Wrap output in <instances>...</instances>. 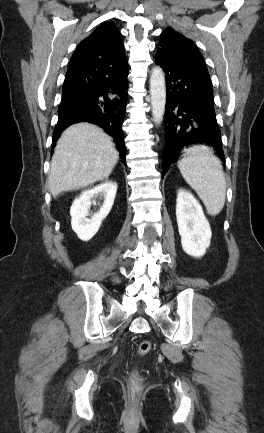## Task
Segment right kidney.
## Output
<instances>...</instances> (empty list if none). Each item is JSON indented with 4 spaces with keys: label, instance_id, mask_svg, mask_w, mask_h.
<instances>
[{
    "label": "right kidney",
    "instance_id": "right-kidney-1",
    "mask_svg": "<svg viewBox=\"0 0 264 433\" xmlns=\"http://www.w3.org/2000/svg\"><path fill=\"white\" fill-rule=\"evenodd\" d=\"M117 183L104 182L90 190H85L76 198L70 208L71 226L78 238L89 241L99 230L101 222L109 214L115 199ZM104 197L100 210L89 216L91 201L95 197Z\"/></svg>",
    "mask_w": 264,
    "mask_h": 433
}]
</instances>
